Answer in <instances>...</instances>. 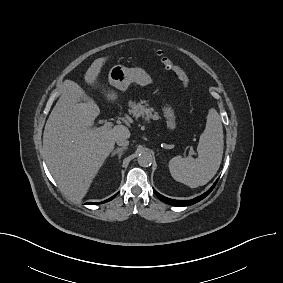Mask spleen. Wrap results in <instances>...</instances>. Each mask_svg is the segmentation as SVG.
I'll return each mask as SVG.
<instances>
[{
	"label": "spleen",
	"mask_w": 283,
	"mask_h": 283,
	"mask_svg": "<svg viewBox=\"0 0 283 283\" xmlns=\"http://www.w3.org/2000/svg\"><path fill=\"white\" fill-rule=\"evenodd\" d=\"M223 127L215 109H210L197 146L198 157L176 156L169 161L172 177L190 188L207 184L217 173L223 156Z\"/></svg>",
	"instance_id": "obj_1"
}]
</instances>
